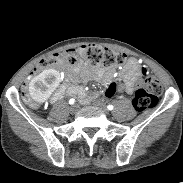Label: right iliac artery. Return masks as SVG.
Instances as JSON below:
<instances>
[{
    "instance_id": "82829eb1",
    "label": "right iliac artery",
    "mask_w": 183,
    "mask_h": 183,
    "mask_svg": "<svg viewBox=\"0 0 183 183\" xmlns=\"http://www.w3.org/2000/svg\"><path fill=\"white\" fill-rule=\"evenodd\" d=\"M74 103H75V99L72 98V99L69 100V104L72 105V104H74Z\"/></svg>"
}]
</instances>
